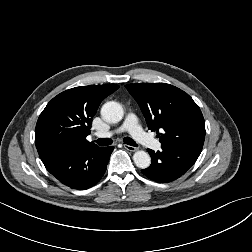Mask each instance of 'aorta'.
I'll return each instance as SVG.
<instances>
[{
  "label": "aorta",
  "mask_w": 252,
  "mask_h": 252,
  "mask_svg": "<svg viewBox=\"0 0 252 252\" xmlns=\"http://www.w3.org/2000/svg\"><path fill=\"white\" fill-rule=\"evenodd\" d=\"M103 119L109 123H117L122 120L124 112L122 106L115 101L106 102L101 108ZM133 161L138 168L146 169L151 164V158L145 151H136Z\"/></svg>",
  "instance_id": "762f6f07"
}]
</instances>
